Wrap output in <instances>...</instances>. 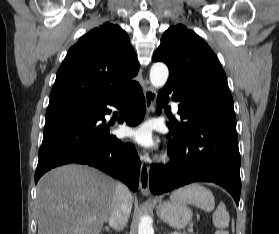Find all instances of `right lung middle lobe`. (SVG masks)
<instances>
[{
  "label": "right lung middle lobe",
  "mask_w": 279,
  "mask_h": 234,
  "mask_svg": "<svg viewBox=\"0 0 279 234\" xmlns=\"http://www.w3.org/2000/svg\"><path fill=\"white\" fill-rule=\"evenodd\" d=\"M92 107H82V106H60L47 108L46 111V122L66 118V117H74L78 115H84L88 113Z\"/></svg>",
  "instance_id": "obj_1"
}]
</instances>
